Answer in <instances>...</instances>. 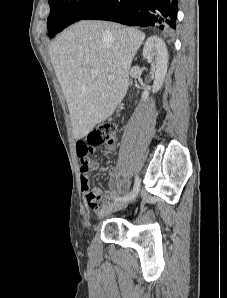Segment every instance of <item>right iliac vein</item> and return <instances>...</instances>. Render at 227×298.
I'll list each match as a JSON object with an SVG mask.
<instances>
[{
	"label": "right iliac vein",
	"instance_id": "63e3f726",
	"mask_svg": "<svg viewBox=\"0 0 227 298\" xmlns=\"http://www.w3.org/2000/svg\"><path fill=\"white\" fill-rule=\"evenodd\" d=\"M127 206V201H115L105 205L98 213V218H103L104 216L124 209Z\"/></svg>",
	"mask_w": 227,
	"mask_h": 298
}]
</instances>
